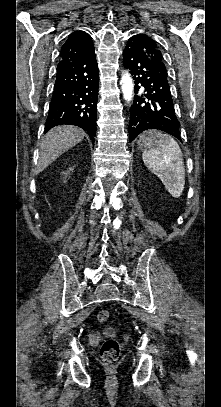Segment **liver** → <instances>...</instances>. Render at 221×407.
<instances>
[{
    "label": "liver",
    "mask_w": 221,
    "mask_h": 407,
    "mask_svg": "<svg viewBox=\"0 0 221 407\" xmlns=\"http://www.w3.org/2000/svg\"><path fill=\"white\" fill-rule=\"evenodd\" d=\"M85 132L72 125L57 126L49 130L40 144L36 173L42 172L63 153L82 141Z\"/></svg>",
    "instance_id": "obj_1"
}]
</instances>
